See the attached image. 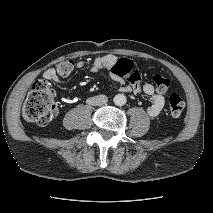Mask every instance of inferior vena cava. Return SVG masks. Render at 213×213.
I'll return each instance as SVG.
<instances>
[{"mask_svg": "<svg viewBox=\"0 0 213 213\" xmlns=\"http://www.w3.org/2000/svg\"><path fill=\"white\" fill-rule=\"evenodd\" d=\"M107 101L108 99L106 95H98V96L87 99V103L94 106H102L106 104Z\"/></svg>", "mask_w": 213, "mask_h": 213, "instance_id": "obj_1", "label": "inferior vena cava"}]
</instances>
